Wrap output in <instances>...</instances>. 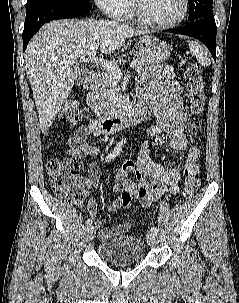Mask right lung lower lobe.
<instances>
[{
	"label": "right lung lower lobe",
	"instance_id": "right-lung-lower-lobe-1",
	"mask_svg": "<svg viewBox=\"0 0 239 303\" xmlns=\"http://www.w3.org/2000/svg\"><path fill=\"white\" fill-rule=\"evenodd\" d=\"M91 9L90 3H40L26 9V20L23 30V50L25 51L29 40L47 22L74 18L88 13Z\"/></svg>",
	"mask_w": 239,
	"mask_h": 303
}]
</instances>
